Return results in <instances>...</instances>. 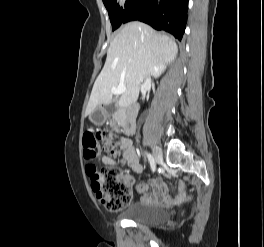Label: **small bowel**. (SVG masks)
<instances>
[{"mask_svg":"<svg viewBox=\"0 0 264 247\" xmlns=\"http://www.w3.org/2000/svg\"><path fill=\"white\" fill-rule=\"evenodd\" d=\"M122 148H123V156L127 164L136 172L141 171V166L138 163V159L136 157L135 151L131 147V143L129 140L124 139L122 141ZM104 162L106 164H112L111 159L105 157ZM126 180L128 183L132 184L133 183V178L131 176H127ZM152 188H153V193H147V187L146 186H140L138 188V191L143 194L142 200L145 202H150V201H160L163 203H172L175 202L178 199H182L186 196V185H182V193L179 194L178 196H174L171 194L169 191L168 187L166 184L161 180V179H156L151 182Z\"/></svg>","mask_w":264,"mask_h":247,"instance_id":"1","label":"small bowel"}]
</instances>
